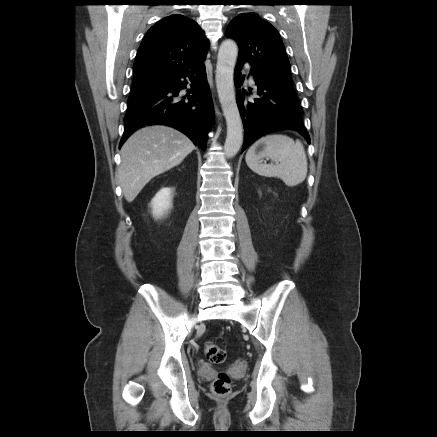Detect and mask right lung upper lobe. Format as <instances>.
I'll return each instance as SVG.
<instances>
[{
  "label": "right lung upper lobe",
  "instance_id": "cb5924a9",
  "mask_svg": "<svg viewBox=\"0 0 437 437\" xmlns=\"http://www.w3.org/2000/svg\"><path fill=\"white\" fill-rule=\"evenodd\" d=\"M209 41L198 24L175 14L146 33L133 66L134 82L164 80L203 61Z\"/></svg>",
  "mask_w": 437,
  "mask_h": 437
}]
</instances>
